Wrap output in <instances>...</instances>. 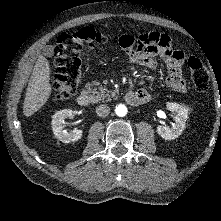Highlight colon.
<instances>
[{"label": "colon", "instance_id": "1", "mask_svg": "<svg viewBox=\"0 0 221 221\" xmlns=\"http://www.w3.org/2000/svg\"><path fill=\"white\" fill-rule=\"evenodd\" d=\"M108 39L91 27H83L74 33H61L55 47V78L53 90L59 99L70 98L77 89L81 77V51L94 48ZM121 40V37L118 39ZM189 66L194 88L204 92L209 86V74L200 59L190 57Z\"/></svg>", "mask_w": 221, "mask_h": 221}]
</instances>
